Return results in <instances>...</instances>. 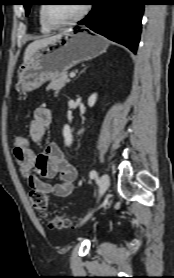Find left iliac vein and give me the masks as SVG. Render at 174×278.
I'll return each mask as SVG.
<instances>
[{"label": "left iliac vein", "instance_id": "left-iliac-vein-1", "mask_svg": "<svg viewBox=\"0 0 174 278\" xmlns=\"http://www.w3.org/2000/svg\"><path fill=\"white\" fill-rule=\"evenodd\" d=\"M109 184H110L109 175L108 174H103L100 178V181H99V196H102L106 192V190L109 187ZM89 217H90V215H88L84 219V221L87 220Z\"/></svg>", "mask_w": 174, "mask_h": 278}]
</instances>
